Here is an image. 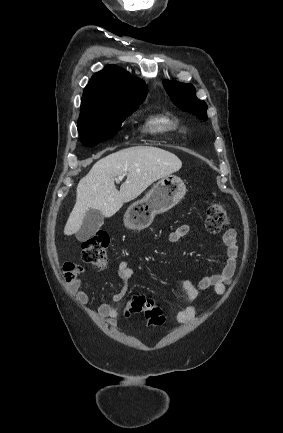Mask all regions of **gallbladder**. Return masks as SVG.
<instances>
[{
	"mask_svg": "<svg viewBox=\"0 0 283 433\" xmlns=\"http://www.w3.org/2000/svg\"><path fill=\"white\" fill-rule=\"evenodd\" d=\"M104 223V214L97 208H89L87 210L80 231L75 233L78 241H88L90 237H93L94 233L99 231Z\"/></svg>",
	"mask_w": 283,
	"mask_h": 433,
	"instance_id": "1",
	"label": "gallbladder"
}]
</instances>
